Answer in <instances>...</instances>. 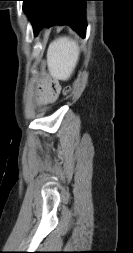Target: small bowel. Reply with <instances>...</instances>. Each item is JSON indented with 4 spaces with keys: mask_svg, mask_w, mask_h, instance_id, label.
<instances>
[{
    "mask_svg": "<svg viewBox=\"0 0 133 253\" xmlns=\"http://www.w3.org/2000/svg\"><path fill=\"white\" fill-rule=\"evenodd\" d=\"M60 86L55 81L44 82L40 86L38 101L40 104H48L55 101L59 95Z\"/></svg>",
    "mask_w": 133,
    "mask_h": 253,
    "instance_id": "small-bowel-1",
    "label": "small bowel"
}]
</instances>
